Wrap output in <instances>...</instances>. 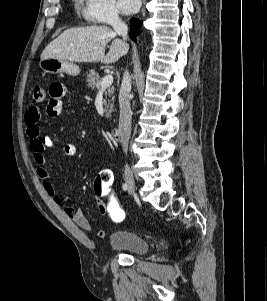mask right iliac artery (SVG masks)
<instances>
[{
	"label": "right iliac artery",
	"instance_id": "1",
	"mask_svg": "<svg viewBox=\"0 0 267 301\" xmlns=\"http://www.w3.org/2000/svg\"><path fill=\"white\" fill-rule=\"evenodd\" d=\"M122 188H123V190H126V189H127V185H126V184H123V185H122Z\"/></svg>",
	"mask_w": 267,
	"mask_h": 301
}]
</instances>
